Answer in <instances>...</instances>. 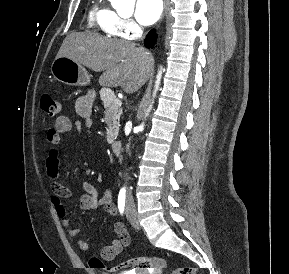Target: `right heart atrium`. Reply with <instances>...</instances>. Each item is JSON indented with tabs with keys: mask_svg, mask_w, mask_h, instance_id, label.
Listing matches in <instances>:
<instances>
[{
	"mask_svg": "<svg viewBox=\"0 0 289 274\" xmlns=\"http://www.w3.org/2000/svg\"><path fill=\"white\" fill-rule=\"evenodd\" d=\"M115 29L118 35L127 39L135 38L141 32L140 26L133 19L120 16L115 21Z\"/></svg>",
	"mask_w": 289,
	"mask_h": 274,
	"instance_id": "1",
	"label": "right heart atrium"
}]
</instances>
